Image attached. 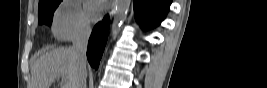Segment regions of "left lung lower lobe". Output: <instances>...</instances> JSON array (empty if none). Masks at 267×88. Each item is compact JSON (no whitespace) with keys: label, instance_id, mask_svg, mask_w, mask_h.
I'll use <instances>...</instances> for the list:
<instances>
[{"label":"left lung lower lobe","instance_id":"obj_1","mask_svg":"<svg viewBox=\"0 0 267 88\" xmlns=\"http://www.w3.org/2000/svg\"><path fill=\"white\" fill-rule=\"evenodd\" d=\"M135 17L143 29L161 23L169 11L171 0H133Z\"/></svg>","mask_w":267,"mask_h":88}]
</instances>
